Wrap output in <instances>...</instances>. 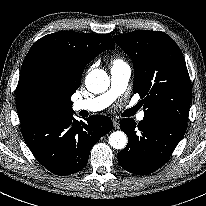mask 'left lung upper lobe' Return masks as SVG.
I'll use <instances>...</instances> for the list:
<instances>
[{"label":"left lung upper lobe","mask_w":206,"mask_h":206,"mask_svg":"<svg viewBox=\"0 0 206 206\" xmlns=\"http://www.w3.org/2000/svg\"><path fill=\"white\" fill-rule=\"evenodd\" d=\"M114 39L133 60V92L142 98L144 116L187 123L192 88L178 45L161 31L137 30Z\"/></svg>","instance_id":"1"}]
</instances>
